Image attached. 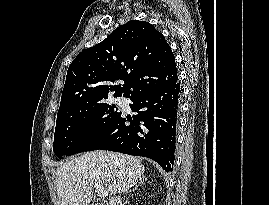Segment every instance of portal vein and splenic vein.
<instances>
[{
	"label": "portal vein and splenic vein",
	"instance_id": "portal-vein-and-splenic-vein-1",
	"mask_svg": "<svg viewBox=\"0 0 269 205\" xmlns=\"http://www.w3.org/2000/svg\"><path fill=\"white\" fill-rule=\"evenodd\" d=\"M94 188H95L97 195L99 197H106L108 195L107 190H105L104 187L101 186L100 184H98V183L94 184Z\"/></svg>",
	"mask_w": 269,
	"mask_h": 205
}]
</instances>
